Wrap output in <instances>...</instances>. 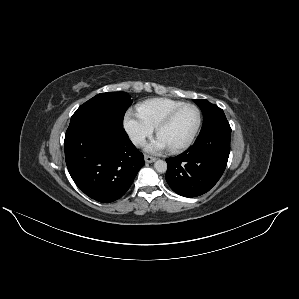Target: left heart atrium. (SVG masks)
Wrapping results in <instances>:
<instances>
[{"label": "left heart atrium", "instance_id": "obj_1", "mask_svg": "<svg viewBox=\"0 0 299 299\" xmlns=\"http://www.w3.org/2000/svg\"><path fill=\"white\" fill-rule=\"evenodd\" d=\"M169 148L170 146L167 144V142L159 135L156 139H154L150 144L146 146V150L151 153L161 152Z\"/></svg>", "mask_w": 299, "mask_h": 299}]
</instances>
